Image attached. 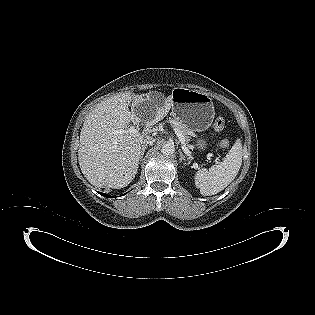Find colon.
Instances as JSON below:
<instances>
[{"label":"colon","instance_id":"colon-1","mask_svg":"<svg viewBox=\"0 0 315 315\" xmlns=\"http://www.w3.org/2000/svg\"><path fill=\"white\" fill-rule=\"evenodd\" d=\"M225 126H226L225 120L223 118H221V117L217 118L215 120V122H214V128L217 131L224 130ZM219 145H220L221 148L226 149V148L229 147L230 142H229L228 139L223 138V139L220 140Z\"/></svg>","mask_w":315,"mask_h":315}]
</instances>
